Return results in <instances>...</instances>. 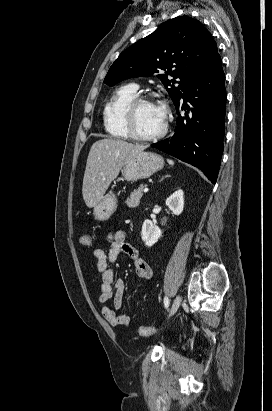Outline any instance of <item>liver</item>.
Listing matches in <instances>:
<instances>
[{
  "instance_id": "1",
  "label": "liver",
  "mask_w": 272,
  "mask_h": 411,
  "mask_svg": "<svg viewBox=\"0 0 272 411\" xmlns=\"http://www.w3.org/2000/svg\"><path fill=\"white\" fill-rule=\"evenodd\" d=\"M147 146L105 138L91 146L83 178L82 194L87 207L99 204L121 167Z\"/></svg>"
}]
</instances>
